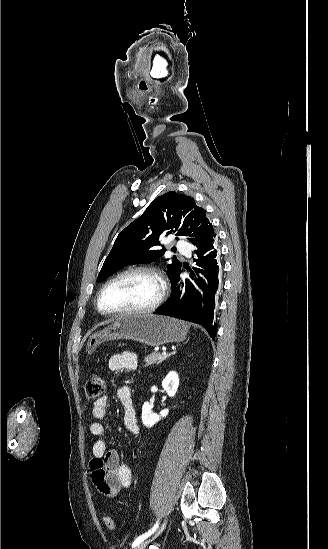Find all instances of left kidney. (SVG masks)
I'll list each match as a JSON object with an SVG mask.
<instances>
[{"label":"left kidney","instance_id":"1","mask_svg":"<svg viewBox=\"0 0 328 549\" xmlns=\"http://www.w3.org/2000/svg\"><path fill=\"white\" fill-rule=\"evenodd\" d=\"M162 387L169 397H175L179 387V377L175 371H170V373L166 375L165 379L162 381ZM168 413L169 409H163V411H160L159 415H156V413H153L152 411V405L146 401L142 407V423L149 429V427H153L155 423H158L160 419L167 417Z\"/></svg>","mask_w":328,"mask_h":549}]
</instances>
